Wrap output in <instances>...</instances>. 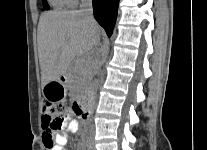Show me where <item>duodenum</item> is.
I'll use <instances>...</instances> for the list:
<instances>
[{
  "mask_svg": "<svg viewBox=\"0 0 207 150\" xmlns=\"http://www.w3.org/2000/svg\"><path fill=\"white\" fill-rule=\"evenodd\" d=\"M77 110L79 113L83 115V117H86L91 108V92L86 91L85 94L81 97V99L78 102Z\"/></svg>",
  "mask_w": 207,
  "mask_h": 150,
  "instance_id": "obj_1",
  "label": "duodenum"
}]
</instances>
